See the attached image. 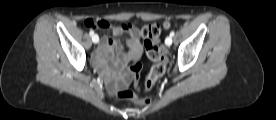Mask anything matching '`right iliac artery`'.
Listing matches in <instances>:
<instances>
[{"mask_svg": "<svg viewBox=\"0 0 276 120\" xmlns=\"http://www.w3.org/2000/svg\"><path fill=\"white\" fill-rule=\"evenodd\" d=\"M89 34H90L91 36H94V31H93V30H90ZM98 41H99V37H98V39H97V42H98Z\"/></svg>", "mask_w": 276, "mask_h": 120, "instance_id": "82829eb1", "label": "right iliac artery"}]
</instances>
